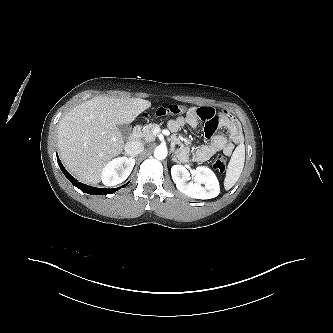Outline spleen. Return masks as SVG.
I'll return each instance as SVG.
<instances>
[{
    "label": "spleen",
    "mask_w": 333,
    "mask_h": 333,
    "mask_svg": "<svg viewBox=\"0 0 333 333\" xmlns=\"http://www.w3.org/2000/svg\"><path fill=\"white\" fill-rule=\"evenodd\" d=\"M245 162V149L244 146H238L228 164L226 176L224 180V187L226 190L232 188L241 176Z\"/></svg>",
    "instance_id": "3e777b00"
}]
</instances>
